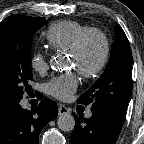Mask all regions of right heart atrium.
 I'll return each mask as SVG.
<instances>
[{"mask_svg":"<svg viewBox=\"0 0 144 144\" xmlns=\"http://www.w3.org/2000/svg\"><path fill=\"white\" fill-rule=\"evenodd\" d=\"M30 66L37 73H44L48 68L47 57L41 51H36L30 58Z\"/></svg>","mask_w":144,"mask_h":144,"instance_id":"1","label":"right heart atrium"}]
</instances>
